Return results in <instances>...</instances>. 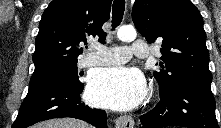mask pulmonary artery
I'll return each instance as SVG.
<instances>
[{
    "label": "pulmonary artery",
    "mask_w": 221,
    "mask_h": 128,
    "mask_svg": "<svg viewBox=\"0 0 221 128\" xmlns=\"http://www.w3.org/2000/svg\"><path fill=\"white\" fill-rule=\"evenodd\" d=\"M93 52H88L81 61L83 67L106 66L123 63L129 59L145 58L150 55V46L145 40H137L130 46H112L96 44Z\"/></svg>",
    "instance_id": "1"
}]
</instances>
